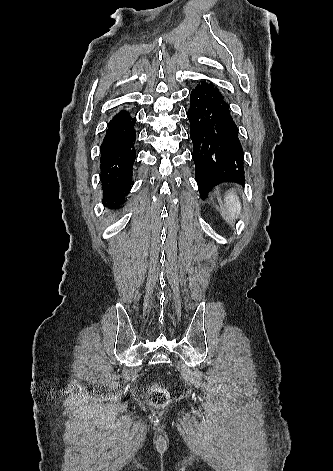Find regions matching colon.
Instances as JSON below:
<instances>
[{
	"label": "colon",
	"instance_id": "5ec220e1",
	"mask_svg": "<svg viewBox=\"0 0 333 471\" xmlns=\"http://www.w3.org/2000/svg\"><path fill=\"white\" fill-rule=\"evenodd\" d=\"M169 396L167 391L160 385H154L148 393V402L154 407H164L168 404Z\"/></svg>",
	"mask_w": 333,
	"mask_h": 471
}]
</instances>
